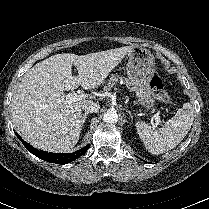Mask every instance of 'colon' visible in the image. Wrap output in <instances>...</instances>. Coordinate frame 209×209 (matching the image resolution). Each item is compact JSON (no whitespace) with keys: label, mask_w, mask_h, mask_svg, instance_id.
<instances>
[{"label":"colon","mask_w":209,"mask_h":209,"mask_svg":"<svg viewBox=\"0 0 209 209\" xmlns=\"http://www.w3.org/2000/svg\"><path fill=\"white\" fill-rule=\"evenodd\" d=\"M150 89L155 99L164 103L171 102V98L164 90L162 80L159 77L155 76L151 79Z\"/></svg>","instance_id":"5ec220e1"}]
</instances>
